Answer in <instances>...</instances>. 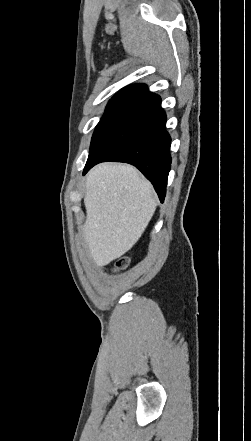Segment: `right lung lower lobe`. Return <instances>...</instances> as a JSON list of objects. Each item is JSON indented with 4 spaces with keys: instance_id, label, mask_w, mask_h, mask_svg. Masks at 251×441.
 Wrapping results in <instances>:
<instances>
[{
    "instance_id": "obj_1",
    "label": "right lung lower lobe",
    "mask_w": 251,
    "mask_h": 441,
    "mask_svg": "<svg viewBox=\"0 0 251 441\" xmlns=\"http://www.w3.org/2000/svg\"><path fill=\"white\" fill-rule=\"evenodd\" d=\"M165 124L160 97L147 93L133 102L96 142L83 174L100 162L132 164L153 184L163 202L171 168V138Z\"/></svg>"
}]
</instances>
